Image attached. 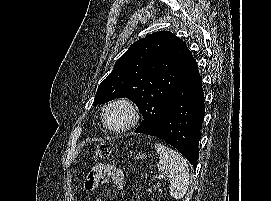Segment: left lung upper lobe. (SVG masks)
<instances>
[{"label":"left lung upper lobe","instance_id":"left-lung-upper-lobe-1","mask_svg":"<svg viewBox=\"0 0 271 201\" xmlns=\"http://www.w3.org/2000/svg\"><path fill=\"white\" fill-rule=\"evenodd\" d=\"M186 44L168 31L133 43L99 85L93 105L127 97L142 113L140 126L148 134L159 131L164 109L180 83Z\"/></svg>","mask_w":271,"mask_h":201}]
</instances>
